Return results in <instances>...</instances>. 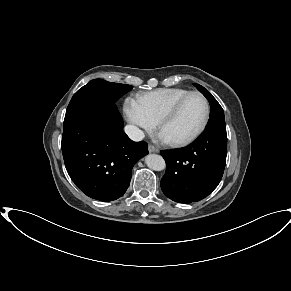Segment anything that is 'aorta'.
<instances>
[{"instance_id":"1","label":"aorta","mask_w":291,"mask_h":291,"mask_svg":"<svg viewBox=\"0 0 291 291\" xmlns=\"http://www.w3.org/2000/svg\"><path fill=\"white\" fill-rule=\"evenodd\" d=\"M146 165L155 171L164 170L166 167L165 160L162 156L157 154H149L145 157Z\"/></svg>"}]
</instances>
